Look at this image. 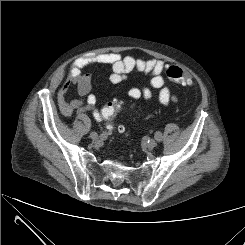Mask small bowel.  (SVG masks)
<instances>
[{"label":"small bowel","mask_w":245,"mask_h":245,"mask_svg":"<svg viewBox=\"0 0 245 245\" xmlns=\"http://www.w3.org/2000/svg\"><path fill=\"white\" fill-rule=\"evenodd\" d=\"M96 64H106L111 66L109 80L113 84H118L126 80L127 75L132 71H138L151 76L149 87H133L128 91V96L132 100L153 99L152 89H158V101L162 105H167L176 100L169 87L166 85L162 75L165 69V62L159 59H136L130 56L122 57L118 53L87 54L71 65L67 77L58 92V106L65 116H70L73 111H92L93 117L97 121L103 118L102 111L96 108L97 98L91 93L92 76L84 73L83 69ZM70 86H75L80 98L70 102L66 100V94Z\"/></svg>","instance_id":"1"}]
</instances>
